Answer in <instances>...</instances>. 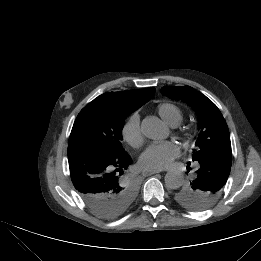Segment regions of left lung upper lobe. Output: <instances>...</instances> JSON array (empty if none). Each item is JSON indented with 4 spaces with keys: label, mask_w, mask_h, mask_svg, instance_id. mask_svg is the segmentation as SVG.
Masks as SVG:
<instances>
[{
    "label": "left lung upper lobe",
    "mask_w": 261,
    "mask_h": 261,
    "mask_svg": "<svg viewBox=\"0 0 261 261\" xmlns=\"http://www.w3.org/2000/svg\"><path fill=\"white\" fill-rule=\"evenodd\" d=\"M161 92L169 98L189 104L198 116V136L193 149L192 160L200 166V161L213 163L217 167H225L232 163L231 142L226 121L216 105L199 91L190 86L162 87ZM219 171V170H216ZM226 180H208V186L215 190L205 191L203 182H190L178 188L175 199L182 206L201 211L211 207L223 192Z\"/></svg>",
    "instance_id": "5c2ea615"
}]
</instances>
